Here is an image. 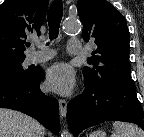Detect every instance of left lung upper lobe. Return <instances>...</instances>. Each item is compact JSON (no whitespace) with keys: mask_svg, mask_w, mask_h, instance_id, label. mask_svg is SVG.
I'll return each mask as SVG.
<instances>
[{"mask_svg":"<svg viewBox=\"0 0 144 137\" xmlns=\"http://www.w3.org/2000/svg\"><path fill=\"white\" fill-rule=\"evenodd\" d=\"M77 10L83 23V39H94L97 46L88 58L90 66L83 69L85 86L135 88L130 76L129 32L124 16L106 0H78Z\"/></svg>","mask_w":144,"mask_h":137,"instance_id":"left-lung-upper-lobe-1","label":"left lung upper lobe"}]
</instances>
